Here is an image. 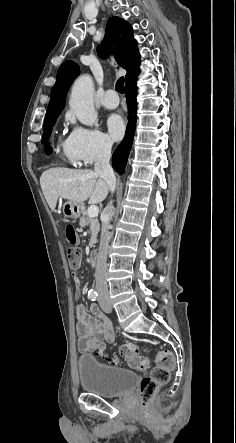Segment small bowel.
I'll use <instances>...</instances> for the list:
<instances>
[{
  "instance_id": "c3829d8e",
  "label": "small bowel",
  "mask_w": 236,
  "mask_h": 443,
  "mask_svg": "<svg viewBox=\"0 0 236 443\" xmlns=\"http://www.w3.org/2000/svg\"><path fill=\"white\" fill-rule=\"evenodd\" d=\"M76 284L75 295L80 296V280L74 278ZM78 349L81 352H91L99 341L112 343L115 339L109 319L102 314L96 305L87 309L84 305L76 307Z\"/></svg>"
}]
</instances>
